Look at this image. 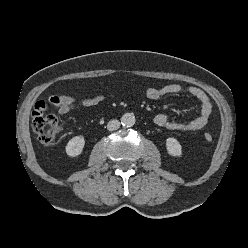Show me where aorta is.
Masks as SVG:
<instances>
[{"label":"aorta","mask_w":248,"mask_h":248,"mask_svg":"<svg viewBox=\"0 0 248 248\" xmlns=\"http://www.w3.org/2000/svg\"><path fill=\"white\" fill-rule=\"evenodd\" d=\"M121 124L125 127H131L135 124V116L133 113H125L121 117Z\"/></svg>","instance_id":"obj_1"}]
</instances>
